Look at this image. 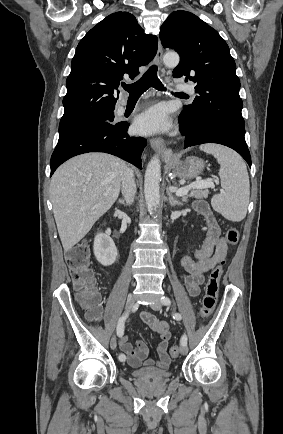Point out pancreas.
I'll list each match as a JSON object with an SVG mask.
<instances>
[{
	"instance_id": "pancreas-1",
	"label": "pancreas",
	"mask_w": 283,
	"mask_h": 434,
	"mask_svg": "<svg viewBox=\"0 0 283 434\" xmlns=\"http://www.w3.org/2000/svg\"><path fill=\"white\" fill-rule=\"evenodd\" d=\"M189 190H190V193L186 194L185 198L194 197V198L201 199V198H207L208 194H209V191L207 188L191 187Z\"/></svg>"
}]
</instances>
